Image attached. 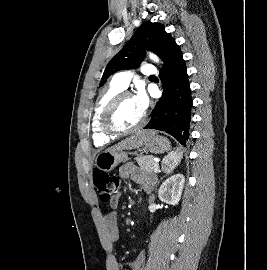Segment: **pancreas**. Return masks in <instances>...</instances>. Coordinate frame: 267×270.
<instances>
[{
	"mask_svg": "<svg viewBox=\"0 0 267 270\" xmlns=\"http://www.w3.org/2000/svg\"><path fill=\"white\" fill-rule=\"evenodd\" d=\"M138 165L140 166V170L144 173L150 175H156L158 171V166H156V162L154 157L151 155L148 156H140L136 158Z\"/></svg>",
	"mask_w": 267,
	"mask_h": 270,
	"instance_id": "obj_1",
	"label": "pancreas"
}]
</instances>
